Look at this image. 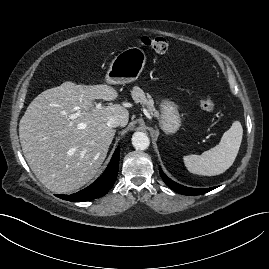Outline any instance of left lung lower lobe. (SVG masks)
I'll use <instances>...</instances> for the list:
<instances>
[{
	"label": "left lung lower lobe",
	"mask_w": 269,
	"mask_h": 269,
	"mask_svg": "<svg viewBox=\"0 0 269 269\" xmlns=\"http://www.w3.org/2000/svg\"><path fill=\"white\" fill-rule=\"evenodd\" d=\"M160 175L163 179V181L166 183L168 187H170L172 190L176 191L177 193L184 194V195H200L204 194L206 192H209L213 190L216 187L211 188H204V189H196V188H189L182 186L174 181H172L170 178H168L161 168H159Z\"/></svg>",
	"instance_id": "0a47b994"
}]
</instances>
